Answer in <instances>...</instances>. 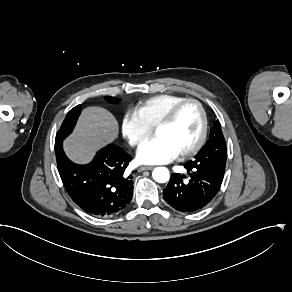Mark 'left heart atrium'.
<instances>
[{
	"label": "left heart atrium",
	"instance_id": "39dd6f15",
	"mask_svg": "<svg viewBox=\"0 0 292 292\" xmlns=\"http://www.w3.org/2000/svg\"><path fill=\"white\" fill-rule=\"evenodd\" d=\"M176 144L162 135L147 139L137 150V160L144 164L167 163L180 155Z\"/></svg>",
	"mask_w": 292,
	"mask_h": 292
}]
</instances>
